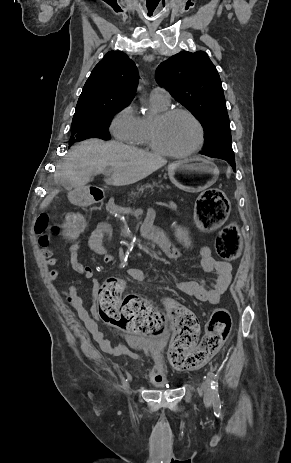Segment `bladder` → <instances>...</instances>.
Listing matches in <instances>:
<instances>
[{
	"label": "bladder",
	"instance_id": "1",
	"mask_svg": "<svg viewBox=\"0 0 291 463\" xmlns=\"http://www.w3.org/2000/svg\"><path fill=\"white\" fill-rule=\"evenodd\" d=\"M131 341H137V340L131 339ZM131 347L134 349H139L141 351H143L146 348V346L144 344H141L140 342H137L136 345H132ZM150 355L155 361L154 371L150 375V382L156 388H162V387L169 386L170 382L165 372V369L163 366V360L161 356L155 353H150Z\"/></svg>",
	"mask_w": 291,
	"mask_h": 463
}]
</instances>
